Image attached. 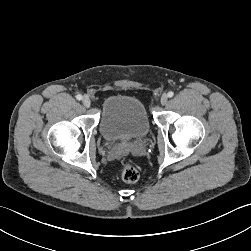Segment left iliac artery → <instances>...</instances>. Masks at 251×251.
<instances>
[{
	"mask_svg": "<svg viewBox=\"0 0 251 251\" xmlns=\"http://www.w3.org/2000/svg\"><path fill=\"white\" fill-rule=\"evenodd\" d=\"M173 95H174V93H173L172 91H169L168 94H167V96H168L169 98L173 97Z\"/></svg>",
	"mask_w": 251,
	"mask_h": 251,
	"instance_id": "left-iliac-artery-1",
	"label": "left iliac artery"
}]
</instances>
